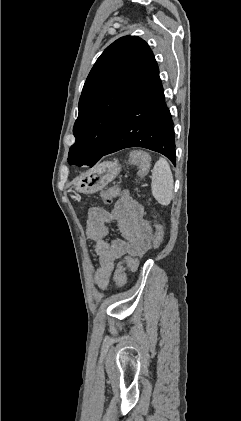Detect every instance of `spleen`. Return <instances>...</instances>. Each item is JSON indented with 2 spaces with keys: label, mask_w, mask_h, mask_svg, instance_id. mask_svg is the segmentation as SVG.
<instances>
[{
  "label": "spleen",
  "mask_w": 241,
  "mask_h": 421,
  "mask_svg": "<svg viewBox=\"0 0 241 421\" xmlns=\"http://www.w3.org/2000/svg\"><path fill=\"white\" fill-rule=\"evenodd\" d=\"M152 194L156 201L167 206L173 198L174 180L168 162L160 158L152 170Z\"/></svg>",
  "instance_id": "1"
}]
</instances>
